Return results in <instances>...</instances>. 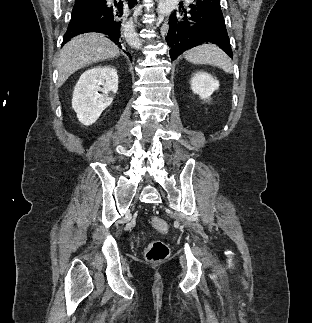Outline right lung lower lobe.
I'll return each instance as SVG.
<instances>
[{"mask_svg":"<svg viewBox=\"0 0 312 323\" xmlns=\"http://www.w3.org/2000/svg\"><path fill=\"white\" fill-rule=\"evenodd\" d=\"M136 1L114 0L107 3L106 0H76L63 44L76 35L97 32L106 34L121 48L127 14ZM126 54L131 57L130 53Z\"/></svg>","mask_w":312,"mask_h":323,"instance_id":"obj_1","label":"right lung lower lobe"}]
</instances>
